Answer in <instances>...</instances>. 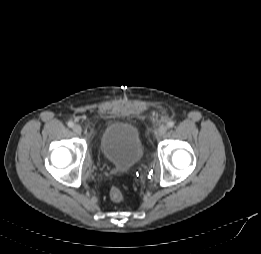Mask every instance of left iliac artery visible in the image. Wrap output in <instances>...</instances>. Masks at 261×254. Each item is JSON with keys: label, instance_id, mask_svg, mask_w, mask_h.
I'll return each instance as SVG.
<instances>
[{"label": "left iliac artery", "instance_id": "obj_1", "mask_svg": "<svg viewBox=\"0 0 261 254\" xmlns=\"http://www.w3.org/2000/svg\"><path fill=\"white\" fill-rule=\"evenodd\" d=\"M174 125H175V122H174V121H169V122L167 123V127H168V128H172V127H174Z\"/></svg>", "mask_w": 261, "mask_h": 254}]
</instances>
